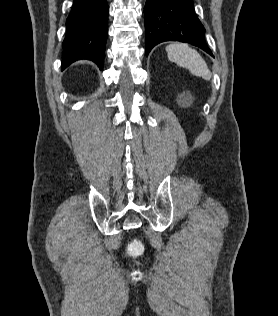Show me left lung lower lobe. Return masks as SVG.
Instances as JSON below:
<instances>
[{"mask_svg":"<svg viewBox=\"0 0 278 316\" xmlns=\"http://www.w3.org/2000/svg\"><path fill=\"white\" fill-rule=\"evenodd\" d=\"M144 21L146 55L161 42L181 41L197 46L213 57L192 0H147Z\"/></svg>","mask_w":278,"mask_h":316,"instance_id":"0a47b994","label":"left lung lower lobe"}]
</instances>
